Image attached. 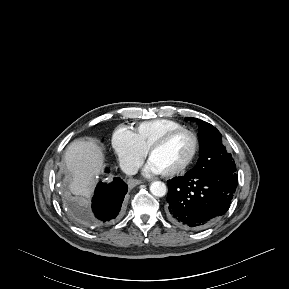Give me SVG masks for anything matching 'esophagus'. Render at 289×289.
I'll return each instance as SVG.
<instances>
[{"label":"esophagus","instance_id":"esophagus-1","mask_svg":"<svg viewBox=\"0 0 289 289\" xmlns=\"http://www.w3.org/2000/svg\"><path fill=\"white\" fill-rule=\"evenodd\" d=\"M141 183H142V181L139 180V179L132 178V179L128 180V185H129L130 188H133V187H135V186H137V185H139Z\"/></svg>","mask_w":289,"mask_h":289}]
</instances>
